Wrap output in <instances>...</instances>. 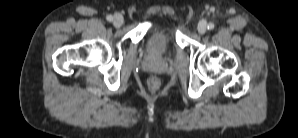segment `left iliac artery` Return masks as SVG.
Returning <instances> with one entry per match:
<instances>
[{
    "mask_svg": "<svg viewBox=\"0 0 298 138\" xmlns=\"http://www.w3.org/2000/svg\"><path fill=\"white\" fill-rule=\"evenodd\" d=\"M214 27H215L214 23H209L207 26L208 30H213Z\"/></svg>",
    "mask_w": 298,
    "mask_h": 138,
    "instance_id": "44dca946",
    "label": "left iliac artery"
}]
</instances>
